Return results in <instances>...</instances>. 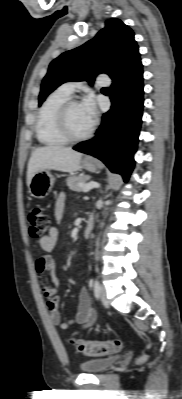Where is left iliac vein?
Wrapping results in <instances>:
<instances>
[{"instance_id":"left-iliac-vein-1","label":"left iliac vein","mask_w":182,"mask_h":399,"mask_svg":"<svg viewBox=\"0 0 182 399\" xmlns=\"http://www.w3.org/2000/svg\"><path fill=\"white\" fill-rule=\"evenodd\" d=\"M100 299L104 306H106V307L109 306V302H108L107 295H106V289L104 287L100 288Z\"/></svg>"}]
</instances>
